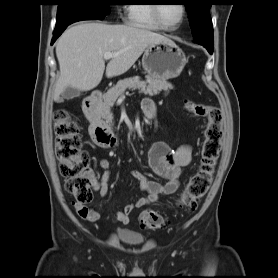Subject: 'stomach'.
Wrapping results in <instances>:
<instances>
[{
  "instance_id": "obj_1",
  "label": "stomach",
  "mask_w": 278,
  "mask_h": 278,
  "mask_svg": "<svg viewBox=\"0 0 278 278\" xmlns=\"http://www.w3.org/2000/svg\"><path fill=\"white\" fill-rule=\"evenodd\" d=\"M186 63L182 49L169 39L148 45L142 57V66L148 76L165 80L178 77Z\"/></svg>"
}]
</instances>
